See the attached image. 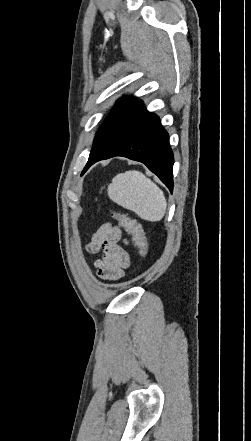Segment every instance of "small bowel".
Instances as JSON below:
<instances>
[{"label":"small bowel","instance_id":"1","mask_svg":"<svg viewBox=\"0 0 251 441\" xmlns=\"http://www.w3.org/2000/svg\"><path fill=\"white\" fill-rule=\"evenodd\" d=\"M122 232L109 223L102 225L87 245L90 253L102 251V257L94 262L97 274L104 280H119L130 265L129 253L120 243Z\"/></svg>","mask_w":251,"mask_h":441}]
</instances>
